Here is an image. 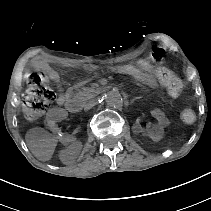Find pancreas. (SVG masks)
Instances as JSON below:
<instances>
[{
  "label": "pancreas",
  "mask_w": 211,
  "mask_h": 211,
  "mask_svg": "<svg viewBox=\"0 0 211 211\" xmlns=\"http://www.w3.org/2000/svg\"><path fill=\"white\" fill-rule=\"evenodd\" d=\"M93 97H94V93H93V89L91 88H83L77 94V98L83 103Z\"/></svg>",
  "instance_id": "1"
}]
</instances>
